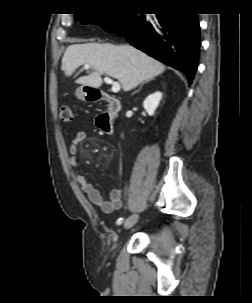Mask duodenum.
Wrapping results in <instances>:
<instances>
[{
  "label": "duodenum",
  "mask_w": 252,
  "mask_h": 303,
  "mask_svg": "<svg viewBox=\"0 0 252 303\" xmlns=\"http://www.w3.org/2000/svg\"><path fill=\"white\" fill-rule=\"evenodd\" d=\"M86 92L88 100L104 101L107 104L106 110L99 115L98 121L102 130L107 135H112L114 132L112 120L121 109L120 101L105 92L93 89H86Z\"/></svg>",
  "instance_id": "duodenum-1"
}]
</instances>
